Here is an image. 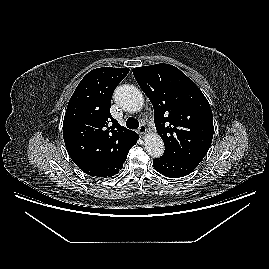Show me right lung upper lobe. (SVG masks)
Masks as SVG:
<instances>
[{
	"label": "right lung upper lobe",
	"mask_w": 269,
	"mask_h": 269,
	"mask_svg": "<svg viewBox=\"0 0 269 269\" xmlns=\"http://www.w3.org/2000/svg\"><path fill=\"white\" fill-rule=\"evenodd\" d=\"M129 71L93 69L80 81L68 103L64 142L73 162L90 176L111 177L119 173L137 137L110 114L112 94Z\"/></svg>",
	"instance_id": "cb5924a9"
}]
</instances>
